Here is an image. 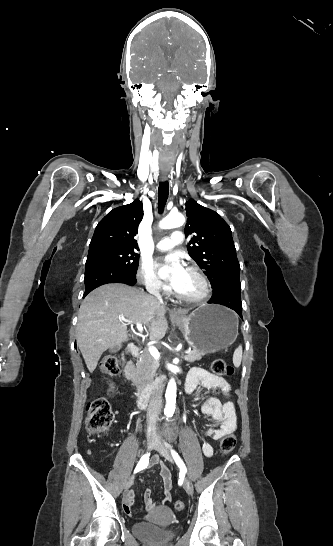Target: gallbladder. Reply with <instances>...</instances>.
<instances>
[{
  "label": "gallbladder",
  "instance_id": "bac80fb5",
  "mask_svg": "<svg viewBox=\"0 0 333 546\" xmlns=\"http://www.w3.org/2000/svg\"><path fill=\"white\" fill-rule=\"evenodd\" d=\"M121 347H122L121 344H120V345H116V346L112 347L111 349H109V352H110V353H116V352H118V351L121 349Z\"/></svg>",
  "mask_w": 333,
  "mask_h": 546
}]
</instances>
